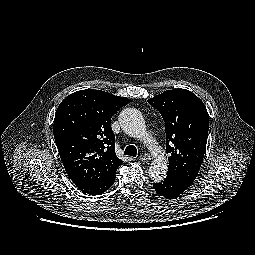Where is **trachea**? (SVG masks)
<instances>
[{
    "instance_id": "trachea-1",
    "label": "trachea",
    "mask_w": 255,
    "mask_h": 255,
    "mask_svg": "<svg viewBox=\"0 0 255 255\" xmlns=\"http://www.w3.org/2000/svg\"><path fill=\"white\" fill-rule=\"evenodd\" d=\"M124 154L128 155V156L136 157L137 149H136L135 146L129 145V146L126 147V149L124 151Z\"/></svg>"
}]
</instances>
